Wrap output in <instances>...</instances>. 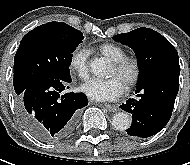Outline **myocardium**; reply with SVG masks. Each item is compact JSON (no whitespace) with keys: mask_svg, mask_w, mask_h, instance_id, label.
I'll use <instances>...</instances> for the list:
<instances>
[{"mask_svg":"<svg viewBox=\"0 0 190 165\" xmlns=\"http://www.w3.org/2000/svg\"><path fill=\"white\" fill-rule=\"evenodd\" d=\"M113 67L119 73L126 75L125 86L127 88H132L139 82L141 67L137 60L126 57L122 60L113 62Z\"/></svg>","mask_w":190,"mask_h":165,"instance_id":"obj_1","label":"myocardium"}]
</instances>
